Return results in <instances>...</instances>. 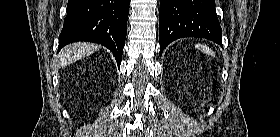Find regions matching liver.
Listing matches in <instances>:
<instances>
[{
    "label": "liver",
    "instance_id": "1",
    "mask_svg": "<svg viewBox=\"0 0 280 137\" xmlns=\"http://www.w3.org/2000/svg\"><path fill=\"white\" fill-rule=\"evenodd\" d=\"M98 49V45L86 42H78L68 45L61 51L59 66L63 67L73 63L96 52Z\"/></svg>",
    "mask_w": 280,
    "mask_h": 137
}]
</instances>
